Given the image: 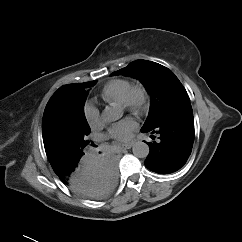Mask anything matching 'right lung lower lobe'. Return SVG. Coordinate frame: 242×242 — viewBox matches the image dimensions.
<instances>
[{
	"mask_svg": "<svg viewBox=\"0 0 242 242\" xmlns=\"http://www.w3.org/2000/svg\"><path fill=\"white\" fill-rule=\"evenodd\" d=\"M52 167L71 190L90 199L107 197L117 184L116 162L111 155L81 157Z\"/></svg>",
	"mask_w": 242,
	"mask_h": 242,
	"instance_id": "right-lung-lower-lobe-1",
	"label": "right lung lower lobe"
}]
</instances>
